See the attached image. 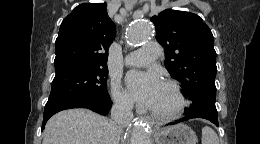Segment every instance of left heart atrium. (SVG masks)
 Listing matches in <instances>:
<instances>
[{
    "label": "left heart atrium",
    "instance_id": "obj_1",
    "mask_svg": "<svg viewBox=\"0 0 260 144\" xmlns=\"http://www.w3.org/2000/svg\"><path fill=\"white\" fill-rule=\"evenodd\" d=\"M126 82L131 96L147 107H152L162 85L155 74L143 72L129 73Z\"/></svg>",
    "mask_w": 260,
    "mask_h": 144
}]
</instances>
